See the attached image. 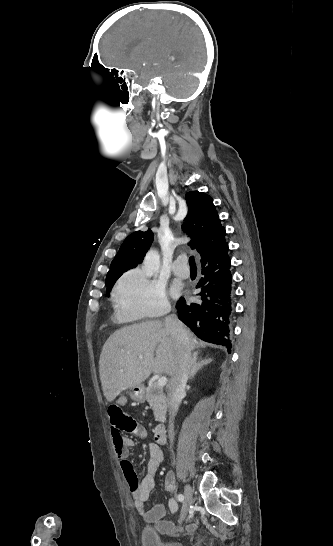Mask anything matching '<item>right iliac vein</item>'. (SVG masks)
<instances>
[{"label": "right iliac vein", "instance_id": "1", "mask_svg": "<svg viewBox=\"0 0 333 546\" xmlns=\"http://www.w3.org/2000/svg\"><path fill=\"white\" fill-rule=\"evenodd\" d=\"M184 495H185V500H184V503H183V508H182L179 523H181L185 519V517H186V515L188 513V510H189V507H190V505L192 503L193 489L189 485L185 486Z\"/></svg>", "mask_w": 333, "mask_h": 546}]
</instances>
